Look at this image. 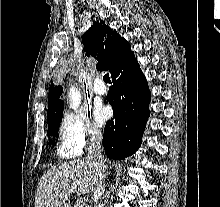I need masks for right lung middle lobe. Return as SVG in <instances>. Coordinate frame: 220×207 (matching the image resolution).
<instances>
[{"mask_svg": "<svg viewBox=\"0 0 220 207\" xmlns=\"http://www.w3.org/2000/svg\"><path fill=\"white\" fill-rule=\"evenodd\" d=\"M62 116H63V107L53 117L47 120L48 122L47 135L48 136L55 135L56 133H58V129H59V125L62 120Z\"/></svg>", "mask_w": 220, "mask_h": 207, "instance_id": "obj_1", "label": "right lung middle lobe"}]
</instances>
